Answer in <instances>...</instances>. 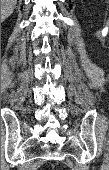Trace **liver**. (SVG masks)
<instances>
[{
    "instance_id": "1",
    "label": "liver",
    "mask_w": 109,
    "mask_h": 170,
    "mask_svg": "<svg viewBox=\"0 0 109 170\" xmlns=\"http://www.w3.org/2000/svg\"><path fill=\"white\" fill-rule=\"evenodd\" d=\"M17 0H1V20L5 21L14 11Z\"/></svg>"
}]
</instances>
